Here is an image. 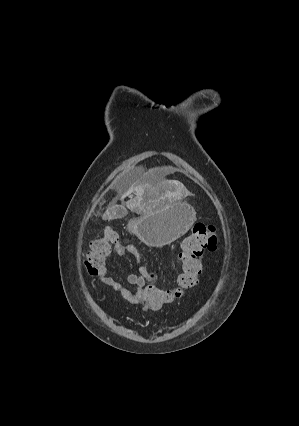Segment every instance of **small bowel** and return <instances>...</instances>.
Wrapping results in <instances>:
<instances>
[{
  "instance_id": "small-bowel-1",
  "label": "small bowel",
  "mask_w": 299,
  "mask_h": 426,
  "mask_svg": "<svg viewBox=\"0 0 299 426\" xmlns=\"http://www.w3.org/2000/svg\"><path fill=\"white\" fill-rule=\"evenodd\" d=\"M113 252L118 256L130 254L141 263V254L134 244L119 243L113 247ZM153 272L149 271L144 265H140L138 273H131L127 276L126 281L131 289L125 287L122 283L114 279L109 272L107 264L101 269L98 274L99 281L106 286L117 291L127 302L132 305H141L144 310H152L144 300V286L152 280ZM157 280V276L154 275Z\"/></svg>"
}]
</instances>
